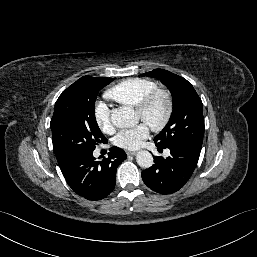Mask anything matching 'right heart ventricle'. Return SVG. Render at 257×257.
Masks as SVG:
<instances>
[{"label": "right heart ventricle", "mask_w": 257, "mask_h": 257, "mask_svg": "<svg viewBox=\"0 0 257 257\" xmlns=\"http://www.w3.org/2000/svg\"><path fill=\"white\" fill-rule=\"evenodd\" d=\"M156 88V82L150 79L130 78L109 88L105 96L122 105L136 107L149 92Z\"/></svg>", "instance_id": "obj_1"}]
</instances>
